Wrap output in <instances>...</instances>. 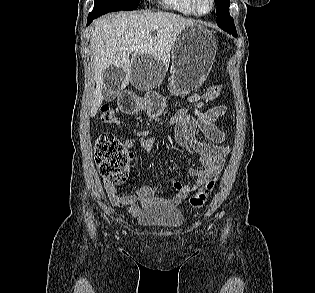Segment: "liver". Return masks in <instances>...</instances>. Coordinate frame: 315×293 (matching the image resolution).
Here are the masks:
<instances>
[{"mask_svg": "<svg viewBox=\"0 0 315 293\" xmlns=\"http://www.w3.org/2000/svg\"><path fill=\"white\" fill-rule=\"evenodd\" d=\"M193 24H196L194 20L167 12H121L97 19L90 36L96 82L90 116L94 117L102 105L103 72L107 67L113 65L125 72L121 89L131 81L130 46L136 47L133 57L148 54L168 67L170 52L178 34Z\"/></svg>", "mask_w": 315, "mask_h": 293, "instance_id": "6515ba94", "label": "liver"}]
</instances>
